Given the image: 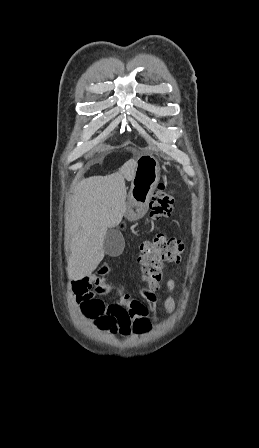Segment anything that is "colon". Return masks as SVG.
<instances>
[{
    "label": "colon",
    "mask_w": 259,
    "mask_h": 448,
    "mask_svg": "<svg viewBox=\"0 0 259 448\" xmlns=\"http://www.w3.org/2000/svg\"><path fill=\"white\" fill-rule=\"evenodd\" d=\"M174 195L163 185H159L150 203V216L159 221L167 219L173 210ZM184 249L183 243L174 238L158 235L141 245L139 262L142 267L143 279L150 290H155L163 276L166 262H179Z\"/></svg>",
    "instance_id": "obj_1"
}]
</instances>
